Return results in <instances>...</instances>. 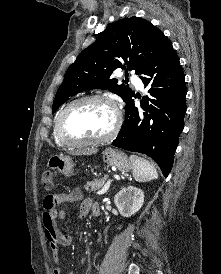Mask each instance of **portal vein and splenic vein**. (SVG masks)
Segmentation results:
<instances>
[{"label":"portal vein and splenic vein","mask_w":221,"mask_h":274,"mask_svg":"<svg viewBox=\"0 0 221 274\" xmlns=\"http://www.w3.org/2000/svg\"><path fill=\"white\" fill-rule=\"evenodd\" d=\"M114 178L116 180H120L119 175H114ZM109 186H110V181H108V183L100 191H98L97 194L102 195V194L106 193L107 190L109 189Z\"/></svg>","instance_id":"1"}]
</instances>
